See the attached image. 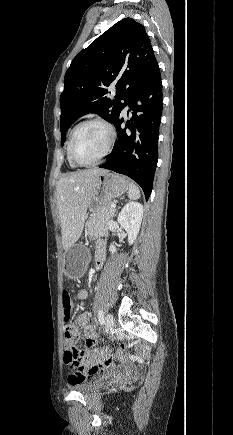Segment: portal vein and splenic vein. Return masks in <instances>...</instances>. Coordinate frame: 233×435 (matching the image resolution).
<instances>
[{"mask_svg":"<svg viewBox=\"0 0 233 435\" xmlns=\"http://www.w3.org/2000/svg\"><path fill=\"white\" fill-rule=\"evenodd\" d=\"M112 209H115L116 208V204H111V206H110Z\"/></svg>","mask_w":233,"mask_h":435,"instance_id":"18ae733b","label":"portal vein and splenic vein"}]
</instances>
